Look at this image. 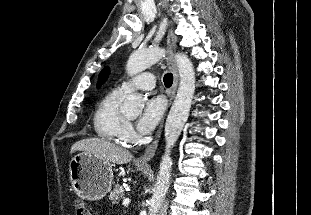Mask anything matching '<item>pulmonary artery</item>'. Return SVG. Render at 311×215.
<instances>
[{"instance_id": "pulmonary-artery-1", "label": "pulmonary artery", "mask_w": 311, "mask_h": 215, "mask_svg": "<svg viewBox=\"0 0 311 215\" xmlns=\"http://www.w3.org/2000/svg\"><path fill=\"white\" fill-rule=\"evenodd\" d=\"M155 84V76L152 73L145 72L137 75L129 81L123 82L122 85L119 87V90L124 93H127L134 89L151 90L155 87Z\"/></svg>"}]
</instances>
